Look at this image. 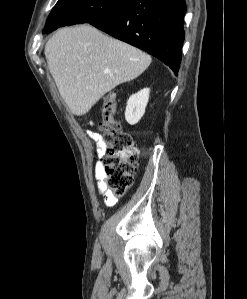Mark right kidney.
Returning a JSON list of instances; mask_svg holds the SVG:
<instances>
[{"label": "right kidney", "mask_w": 247, "mask_h": 299, "mask_svg": "<svg viewBox=\"0 0 247 299\" xmlns=\"http://www.w3.org/2000/svg\"><path fill=\"white\" fill-rule=\"evenodd\" d=\"M149 88H144L133 94L127 101L125 119L130 125L137 124L145 113L149 100Z\"/></svg>", "instance_id": "ca27d5eb"}]
</instances>
